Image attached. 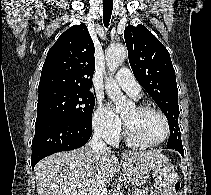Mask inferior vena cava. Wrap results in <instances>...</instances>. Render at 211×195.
Instances as JSON below:
<instances>
[{
	"instance_id": "1",
	"label": "inferior vena cava",
	"mask_w": 211,
	"mask_h": 195,
	"mask_svg": "<svg viewBox=\"0 0 211 195\" xmlns=\"http://www.w3.org/2000/svg\"><path fill=\"white\" fill-rule=\"evenodd\" d=\"M89 147L96 160H99L100 152L108 150L105 142L102 139V132L100 129H96L94 131V134L89 142ZM91 195H107L105 182L99 176H97L93 181Z\"/></svg>"
}]
</instances>
